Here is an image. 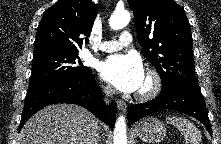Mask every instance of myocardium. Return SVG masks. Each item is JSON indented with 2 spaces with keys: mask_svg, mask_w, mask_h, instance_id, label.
Instances as JSON below:
<instances>
[{
  "mask_svg": "<svg viewBox=\"0 0 221 144\" xmlns=\"http://www.w3.org/2000/svg\"><path fill=\"white\" fill-rule=\"evenodd\" d=\"M147 87L138 91L136 97L141 101H148L155 98L162 87V82L159 74L154 70H148L146 75Z\"/></svg>",
  "mask_w": 221,
  "mask_h": 144,
  "instance_id": "myocardium-1",
  "label": "myocardium"
}]
</instances>
